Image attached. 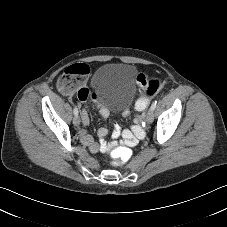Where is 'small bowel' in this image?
Wrapping results in <instances>:
<instances>
[{
  "label": "small bowel",
  "instance_id": "1",
  "mask_svg": "<svg viewBox=\"0 0 227 227\" xmlns=\"http://www.w3.org/2000/svg\"><path fill=\"white\" fill-rule=\"evenodd\" d=\"M76 72L81 75L83 78H86L89 73V67L85 64H78L75 67ZM86 90V89H85ZM87 96L89 95V92L86 90ZM68 94V93H67ZM80 101H85L83 99H79ZM98 112L101 118L106 119L109 115V111L107 108L103 106L98 107ZM81 118H82V124L83 126H86L89 121H90V115L86 110L81 111ZM121 134V130L119 126H115L113 132H112V137L113 138H118ZM108 135V130L106 128H101L98 132V137L99 140L95 141L92 136L88 135L85 131V129H82L80 132L81 139L83 143L88 147V149L91 152H99V151H104L106 149L105 143H104V138ZM133 137L131 134L128 132H125V138L127 137Z\"/></svg>",
  "mask_w": 227,
  "mask_h": 227
}]
</instances>
